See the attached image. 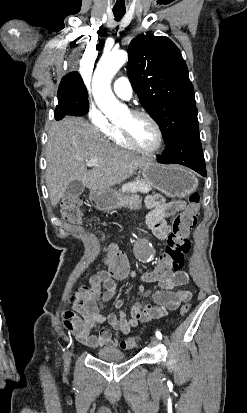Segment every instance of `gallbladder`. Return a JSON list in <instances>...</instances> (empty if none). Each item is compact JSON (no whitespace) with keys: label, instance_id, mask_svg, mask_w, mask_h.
I'll list each match as a JSON object with an SVG mask.
<instances>
[{"label":"gallbladder","instance_id":"obj_1","mask_svg":"<svg viewBox=\"0 0 247 413\" xmlns=\"http://www.w3.org/2000/svg\"><path fill=\"white\" fill-rule=\"evenodd\" d=\"M83 190H85V186L82 182V180H72V182H69L67 192L68 196H79V194H82Z\"/></svg>","mask_w":247,"mask_h":413}]
</instances>
